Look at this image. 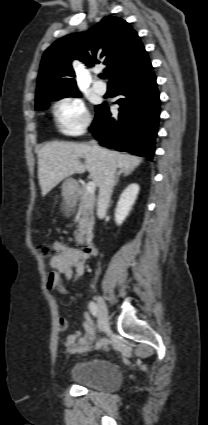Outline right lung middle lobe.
Here are the masks:
<instances>
[{"mask_svg":"<svg viewBox=\"0 0 208 425\" xmlns=\"http://www.w3.org/2000/svg\"><path fill=\"white\" fill-rule=\"evenodd\" d=\"M64 97H80V94L78 91L73 92H67V93H51L44 97H42L35 105V109H47L49 106V102L52 100H59Z\"/></svg>","mask_w":208,"mask_h":425,"instance_id":"1","label":"right lung middle lobe"}]
</instances>
